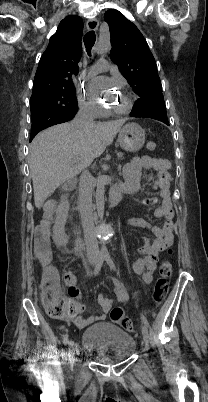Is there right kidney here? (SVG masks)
<instances>
[{"label":"right kidney","instance_id":"1","mask_svg":"<svg viewBox=\"0 0 208 402\" xmlns=\"http://www.w3.org/2000/svg\"><path fill=\"white\" fill-rule=\"evenodd\" d=\"M70 210L67 196H62L58 208H56L55 222L53 226V240L56 246H66L68 244V236L65 234V224Z\"/></svg>","mask_w":208,"mask_h":402}]
</instances>
